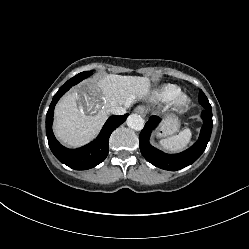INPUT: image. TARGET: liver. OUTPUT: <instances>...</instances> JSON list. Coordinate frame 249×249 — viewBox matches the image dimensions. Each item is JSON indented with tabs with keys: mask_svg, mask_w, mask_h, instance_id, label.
Segmentation results:
<instances>
[{
	"mask_svg": "<svg viewBox=\"0 0 249 249\" xmlns=\"http://www.w3.org/2000/svg\"><path fill=\"white\" fill-rule=\"evenodd\" d=\"M150 91L146 77L110 74L92 85L81 95L78 89L65 95L56 105L54 132L68 146H81L90 141L108 118L113 106L129 107L133 102L145 98ZM85 98L84 108H78L77 100Z\"/></svg>",
	"mask_w": 249,
	"mask_h": 249,
	"instance_id": "obj_1",
	"label": "liver"
}]
</instances>
